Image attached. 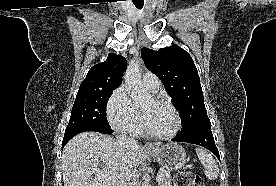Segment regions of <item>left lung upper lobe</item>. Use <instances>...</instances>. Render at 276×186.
Listing matches in <instances>:
<instances>
[{
  "mask_svg": "<svg viewBox=\"0 0 276 186\" xmlns=\"http://www.w3.org/2000/svg\"><path fill=\"white\" fill-rule=\"evenodd\" d=\"M141 55L146 67L161 79L182 115L180 134L210 126L200 78L191 56L175 44L158 51L143 48Z\"/></svg>",
  "mask_w": 276,
  "mask_h": 186,
  "instance_id": "obj_1",
  "label": "left lung upper lobe"
}]
</instances>
